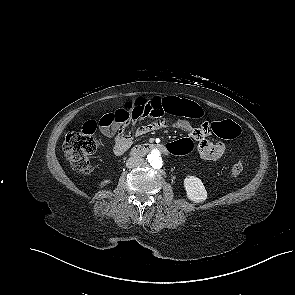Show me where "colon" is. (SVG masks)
Segmentation results:
<instances>
[{
	"label": "colon",
	"instance_id": "colon-1",
	"mask_svg": "<svg viewBox=\"0 0 295 295\" xmlns=\"http://www.w3.org/2000/svg\"><path fill=\"white\" fill-rule=\"evenodd\" d=\"M171 109L175 115L191 119L201 118L204 114L203 109L195 102L179 98L172 100ZM99 121L89 120L80 131H72L65 138L63 144L65 157L71 166L80 173H89L92 170L89 157L96 150L93 134ZM211 130L224 139H236L241 134V127L231 120L211 124ZM192 149L193 143L188 139L178 142L169 141L165 145V150L169 154L184 155L190 153ZM242 171L243 165L238 162L231 167L230 174L236 177Z\"/></svg>",
	"mask_w": 295,
	"mask_h": 295
}]
</instances>
